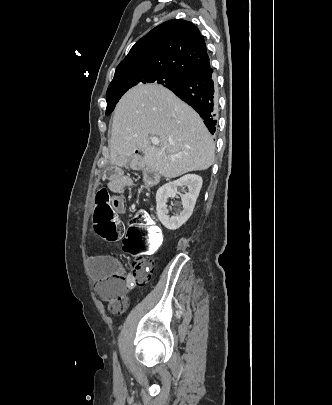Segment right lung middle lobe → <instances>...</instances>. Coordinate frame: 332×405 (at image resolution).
I'll return each instance as SVG.
<instances>
[{
  "label": "right lung middle lobe",
  "mask_w": 332,
  "mask_h": 405,
  "mask_svg": "<svg viewBox=\"0 0 332 405\" xmlns=\"http://www.w3.org/2000/svg\"><path fill=\"white\" fill-rule=\"evenodd\" d=\"M184 76L160 73L152 71H140L125 73L113 79L107 90V109L106 115H109L115 108V105L122 95L131 87L142 83H156L165 87L176 84L181 81Z\"/></svg>",
  "instance_id": "obj_1"
}]
</instances>
